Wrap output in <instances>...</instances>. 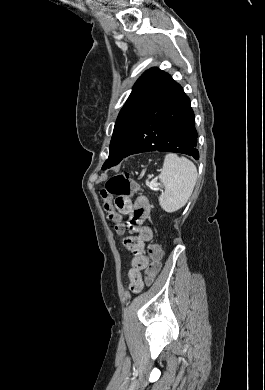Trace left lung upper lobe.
<instances>
[{"instance_id": "obj_1", "label": "left lung upper lobe", "mask_w": 265, "mask_h": 390, "mask_svg": "<svg viewBox=\"0 0 265 390\" xmlns=\"http://www.w3.org/2000/svg\"><path fill=\"white\" fill-rule=\"evenodd\" d=\"M168 77V73L155 67L139 77L116 120L109 157L102 166L103 170L117 165L122 160L135 136L144 108Z\"/></svg>"}]
</instances>
